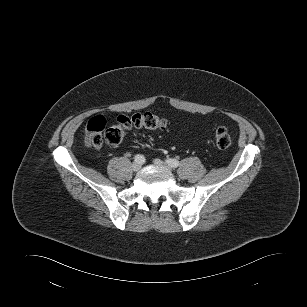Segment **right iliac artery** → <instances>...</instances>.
I'll return each mask as SVG.
<instances>
[{
	"mask_svg": "<svg viewBox=\"0 0 307 307\" xmlns=\"http://www.w3.org/2000/svg\"><path fill=\"white\" fill-rule=\"evenodd\" d=\"M135 162L143 163L145 161V158L143 155H136L135 156Z\"/></svg>",
	"mask_w": 307,
	"mask_h": 307,
	"instance_id": "right-iliac-artery-1",
	"label": "right iliac artery"
}]
</instances>
